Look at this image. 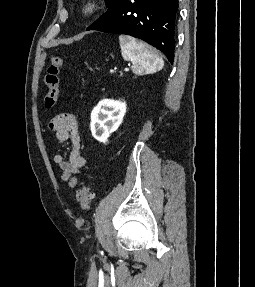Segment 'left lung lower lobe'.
Instances as JSON below:
<instances>
[{"instance_id": "left-lung-lower-lobe-1", "label": "left lung lower lobe", "mask_w": 255, "mask_h": 287, "mask_svg": "<svg viewBox=\"0 0 255 287\" xmlns=\"http://www.w3.org/2000/svg\"><path fill=\"white\" fill-rule=\"evenodd\" d=\"M179 0H115L87 30L142 39L173 63Z\"/></svg>"}]
</instances>
